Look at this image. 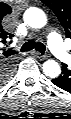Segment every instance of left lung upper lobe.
<instances>
[{
	"label": "left lung upper lobe",
	"instance_id": "obj_1",
	"mask_svg": "<svg viewBox=\"0 0 71 119\" xmlns=\"http://www.w3.org/2000/svg\"><path fill=\"white\" fill-rule=\"evenodd\" d=\"M58 17L66 34L71 36V0H41Z\"/></svg>",
	"mask_w": 71,
	"mask_h": 119
}]
</instances>
